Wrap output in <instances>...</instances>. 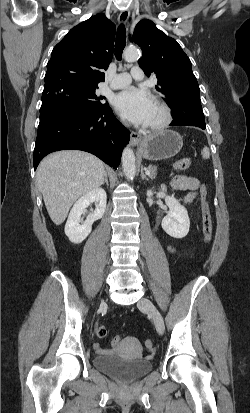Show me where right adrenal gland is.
<instances>
[{
    "label": "right adrenal gland",
    "mask_w": 250,
    "mask_h": 413,
    "mask_svg": "<svg viewBox=\"0 0 250 413\" xmlns=\"http://www.w3.org/2000/svg\"><path fill=\"white\" fill-rule=\"evenodd\" d=\"M105 183H106V186L108 187L109 184H108V176H107V173L105 174V179H104V182L102 183V185H104Z\"/></svg>",
    "instance_id": "obj_1"
}]
</instances>
